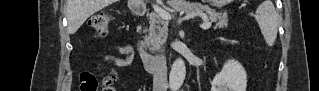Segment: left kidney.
<instances>
[{
    "mask_svg": "<svg viewBox=\"0 0 319 91\" xmlns=\"http://www.w3.org/2000/svg\"><path fill=\"white\" fill-rule=\"evenodd\" d=\"M246 87L245 69L239 62L228 60L224 63L222 71L214 77L211 91H246Z\"/></svg>",
    "mask_w": 319,
    "mask_h": 91,
    "instance_id": "obj_1",
    "label": "left kidney"
}]
</instances>
